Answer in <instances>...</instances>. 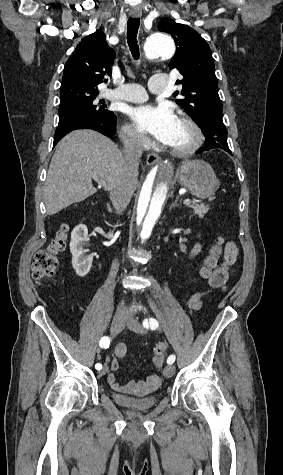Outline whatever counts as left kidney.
<instances>
[{
    "mask_svg": "<svg viewBox=\"0 0 283 475\" xmlns=\"http://www.w3.org/2000/svg\"><path fill=\"white\" fill-rule=\"evenodd\" d=\"M199 251H201V245L200 243H195L190 255L192 257V255H197V253H199Z\"/></svg>",
    "mask_w": 283,
    "mask_h": 475,
    "instance_id": "obj_1",
    "label": "left kidney"
}]
</instances>
